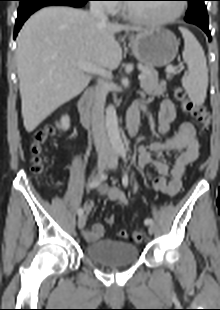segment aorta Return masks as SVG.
<instances>
[{"instance_id":"aorta-1","label":"aorta","mask_w":220,"mask_h":310,"mask_svg":"<svg viewBox=\"0 0 220 310\" xmlns=\"http://www.w3.org/2000/svg\"><path fill=\"white\" fill-rule=\"evenodd\" d=\"M106 129L108 138L112 148L120 150L123 148L122 139L120 137V131L118 127V118L116 109L113 105H109L106 109Z\"/></svg>"}]
</instances>
